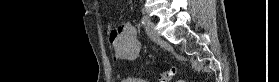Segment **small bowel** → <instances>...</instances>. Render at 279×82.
Returning <instances> with one entry per match:
<instances>
[{
	"instance_id": "small-bowel-1",
	"label": "small bowel",
	"mask_w": 279,
	"mask_h": 82,
	"mask_svg": "<svg viewBox=\"0 0 279 82\" xmlns=\"http://www.w3.org/2000/svg\"><path fill=\"white\" fill-rule=\"evenodd\" d=\"M110 43L117 60H135L140 54V44L136 31L130 24H124L110 30Z\"/></svg>"
}]
</instances>
